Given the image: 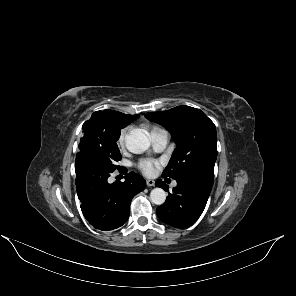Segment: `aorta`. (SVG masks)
<instances>
[{
    "label": "aorta",
    "mask_w": 296,
    "mask_h": 296,
    "mask_svg": "<svg viewBox=\"0 0 296 296\" xmlns=\"http://www.w3.org/2000/svg\"><path fill=\"white\" fill-rule=\"evenodd\" d=\"M125 144L130 152L141 154L150 147V140L143 131L134 129L126 135ZM150 199L154 204L162 205L166 201V192L162 188H154Z\"/></svg>",
    "instance_id": "762f6f07"
}]
</instances>
